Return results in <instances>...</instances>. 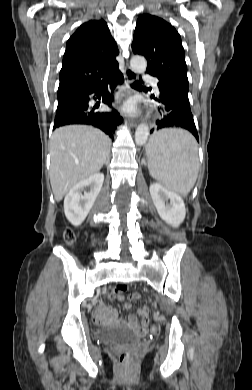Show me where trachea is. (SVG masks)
I'll return each mask as SVG.
<instances>
[{
  "instance_id": "obj_1",
  "label": "trachea",
  "mask_w": 252,
  "mask_h": 390,
  "mask_svg": "<svg viewBox=\"0 0 252 390\" xmlns=\"http://www.w3.org/2000/svg\"><path fill=\"white\" fill-rule=\"evenodd\" d=\"M132 86H134V87H135V86H141V83L138 82V81H135V82L132 83Z\"/></svg>"
}]
</instances>
